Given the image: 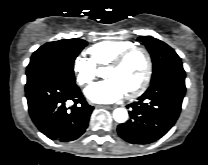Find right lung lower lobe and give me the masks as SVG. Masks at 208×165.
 Listing matches in <instances>:
<instances>
[{
    "mask_svg": "<svg viewBox=\"0 0 208 165\" xmlns=\"http://www.w3.org/2000/svg\"><path fill=\"white\" fill-rule=\"evenodd\" d=\"M25 92L34 124L51 140L73 141L85 132L94 108L75 83L45 77L26 85ZM70 100L74 105L67 107Z\"/></svg>",
    "mask_w": 208,
    "mask_h": 165,
    "instance_id": "obj_1",
    "label": "right lung lower lobe"
}]
</instances>
